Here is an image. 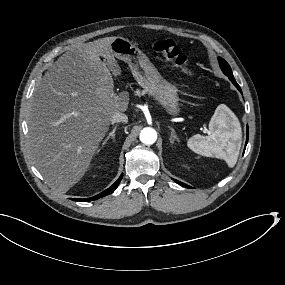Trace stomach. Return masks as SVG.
I'll return each instance as SVG.
<instances>
[{
	"label": "stomach",
	"mask_w": 285,
	"mask_h": 285,
	"mask_svg": "<svg viewBox=\"0 0 285 285\" xmlns=\"http://www.w3.org/2000/svg\"><path fill=\"white\" fill-rule=\"evenodd\" d=\"M112 54L129 64L131 72L138 84L153 96L169 113L180 112L177 88L166 81L147 56L131 41L123 37H115L110 44Z\"/></svg>",
	"instance_id": "0dacf381"
}]
</instances>
